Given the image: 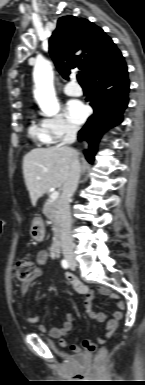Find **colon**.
Wrapping results in <instances>:
<instances>
[{
    "label": "colon",
    "instance_id": "5ec220e1",
    "mask_svg": "<svg viewBox=\"0 0 145 385\" xmlns=\"http://www.w3.org/2000/svg\"><path fill=\"white\" fill-rule=\"evenodd\" d=\"M34 270H35V266L32 260L20 259L14 265L13 276L21 284L28 283L33 276ZM86 349L89 351H94L95 346L90 344L86 346ZM105 353H106L105 349L99 350L98 360L103 359L105 356Z\"/></svg>",
    "mask_w": 145,
    "mask_h": 385
}]
</instances>
